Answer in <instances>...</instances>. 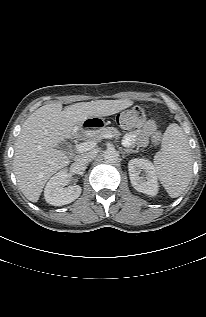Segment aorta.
<instances>
[{"instance_id":"obj_1","label":"aorta","mask_w":206,"mask_h":317,"mask_svg":"<svg viewBox=\"0 0 206 317\" xmlns=\"http://www.w3.org/2000/svg\"><path fill=\"white\" fill-rule=\"evenodd\" d=\"M104 159L107 163H116L119 160V153L113 148L107 149L104 153Z\"/></svg>"}]
</instances>
